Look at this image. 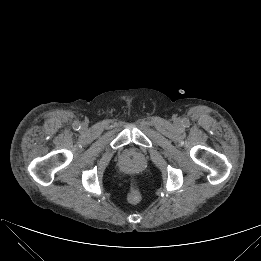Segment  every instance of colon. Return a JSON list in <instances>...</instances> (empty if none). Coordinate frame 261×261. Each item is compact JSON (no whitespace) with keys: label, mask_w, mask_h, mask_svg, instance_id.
Returning a JSON list of instances; mask_svg holds the SVG:
<instances>
[{"label":"colon","mask_w":261,"mask_h":261,"mask_svg":"<svg viewBox=\"0 0 261 261\" xmlns=\"http://www.w3.org/2000/svg\"><path fill=\"white\" fill-rule=\"evenodd\" d=\"M141 199V193L138 187L133 183L127 196V200L131 204H136Z\"/></svg>","instance_id":"obj_1"}]
</instances>
